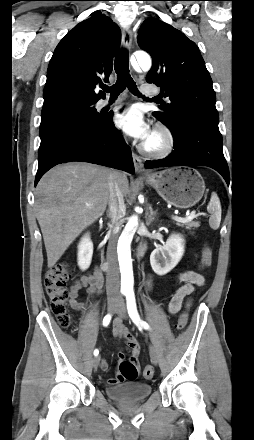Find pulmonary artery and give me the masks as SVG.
Listing matches in <instances>:
<instances>
[{
  "label": "pulmonary artery",
  "instance_id": "obj_1",
  "mask_svg": "<svg viewBox=\"0 0 254 440\" xmlns=\"http://www.w3.org/2000/svg\"><path fill=\"white\" fill-rule=\"evenodd\" d=\"M157 91H158V89H157L156 87H154V86L142 85V86L140 87V93H141V95H143V96H151V95H154V94L157 93ZM113 104H114V103H111V102H109V101H107V100H102V101L99 102V107H100V108H106V107H109V106H111V105H113Z\"/></svg>",
  "mask_w": 254,
  "mask_h": 440
}]
</instances>
